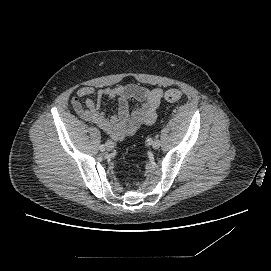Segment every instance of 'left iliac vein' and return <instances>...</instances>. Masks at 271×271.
<instances>
[{"mask_svg":"<svg viewBox=\"0 0 271 271\" xmlns=\"http://www.w3.org/2000/svg\"><path fill=\"white\" fill-rule=\"evenodd\" d=\"M160 145H161V142L158 139L154 140V142L152 143V147L154 149H158L160 147Z\"/></svg>","mask_w":271,"mask_h":271,"instance_id":"left-iliac-vein-1","label":"left iliac vein"}]
</instances>
